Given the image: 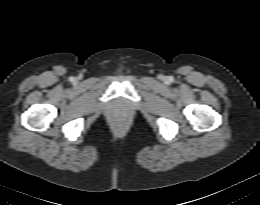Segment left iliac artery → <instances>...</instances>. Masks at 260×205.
<instances>
[{
	"label": "left iliac artery",
	"mask_w": 260,
	"mask_h": 205,
	"mask_svg": "<svg viewBox=\"0 0 260 205\" xmlns=\"http://www.w3.org/2000/svg\"><path fill=\"white\" fill-rule=\"evenodd\" d=\"M170 80L172 81V80H173V78H172V77H170Z\"/></svg>",
	"instance_id": "1"
}]
</instances>
